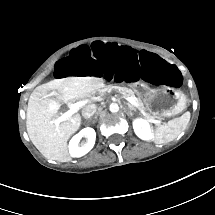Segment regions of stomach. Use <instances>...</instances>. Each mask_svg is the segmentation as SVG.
Instances as JSON below:
<instances>
[{"instance_id": "stomach-1", "label": "stomach", "mask_w": 215, "mask_h": 215, "mask_svg": "<svg viewBox=\"0 0 215 215\" xmlns=\"http://www.w3.org/2000/svg\"><path fill=\"white\" fill-rule=\"evenodd\" d=\"M132 91L145 105L146 110L156 117H170L181 113L186 108L185 95L173 88H150L136 84Z\"/></svg>"}]
</instances>
